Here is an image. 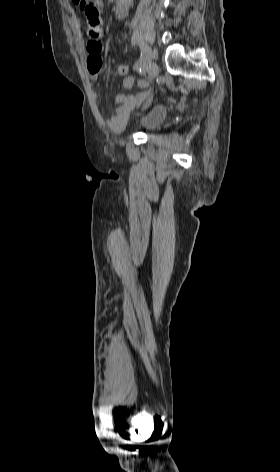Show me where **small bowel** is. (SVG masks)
Returning a JSON list of instances; mask_svg holds the SVG:
<instances>
[{
    "mask_svg": "<svg viewBox=\"0 0 280 472\" xmlns=\"http://www.w3.org/2000/svg\"><path fill=\"white\" fill-rule=\"evenodd\" d=\"M119 6L124 7L128 12L131 6V0H119L117 7ZM87 35L89 38L87 43V69L90 78L92 80H97L102 69L101 52L103 44L101 41V21H87ZM135 83L141 88H145L147 86L144 80L136 79L135 77H128L123 81V87L128 89ZM147 94L148 92H142L138 94H118L115 98L116 108L114 114L108 120L109 127L116 129L121 126L133 106L141 101Z\"/></svg>",
    "mask_w": 280,
    "mask_h": 472,
    "instance_id": "c3829d8e",
    "label": "small bowel"
}]
</instances>
